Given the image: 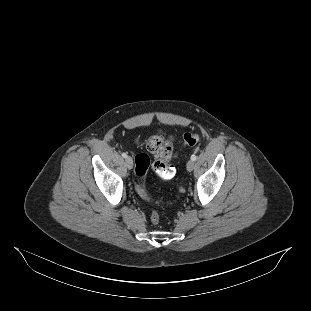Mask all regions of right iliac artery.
<instances>
[{"instance_id":"right-iliac-artery-1","label":"right iliac artery","mask_w":311,"mask_h":311,"mask_svg":"<svg viewBox=\"0 0 311 311\" xmlns=\"http://www.w3.org/2000/svg\"><path fill=\"white\" fill-rule=\"evenodd\" d=\"M122 157L126 158L127 154L126 153H122Z\"/></svg>"}]
</instances>
